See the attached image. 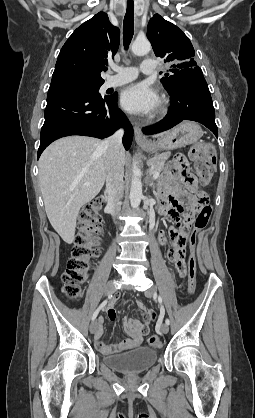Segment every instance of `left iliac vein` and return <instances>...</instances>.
Returning a JSON list of instances; mask_svg holds the SVG:
<instances>
[{
    "label": "left iliac vein",
    "mask_w": 255,
    "mask_h": 418,
    "mask_svg": "<svg viewBox=\"0 0 255 418\" xmlns=\"http://www.w3.org/2000/svg\"><path fill=\"white\" fill-rule=\"evenodd\" d=\"M154 293H155L154 287H151V288H149L148 290L145 291V295L147 297H152L154 295ZM161 331H162V333L167 334L169 332V326L166 323H163L161 325Z\"/></svg>",
    "instance_id": "obj_1"
}]
</instances>
